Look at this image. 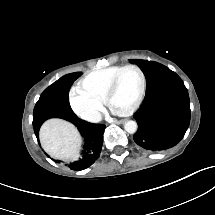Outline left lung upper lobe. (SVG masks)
<instances>
[{
  "instance_id": "obj_1",
  "label": "left lung upper lobe",
  "mask_w": 215,
  "mask_h": 215,
  "mask_svg": "<svg viewBox=\"0 0 215 215\" xmlns=\"http://www.w3.org/2000/svg\"><path fill=\"white\" fill-rule=\"evenodd\" d=\"M147 80L146 96L134 118L138 131L133 138L143 150L162 151L177 145L190 123L188 91L180 77L151 61L133 60Z\"/></svg>"
}]
</instances>
